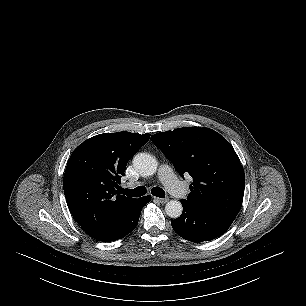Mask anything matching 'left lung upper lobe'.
I'll use <instances>...</instances> for the list:
<instances>
[{
	"instance_id": "obj_1",
	"label": "left lung upper lobe",
	"mask_w": 306,
	"mask_h": 306,
	"mask_svg": "<svg viewBox=\"0 0 306 306\" xmlns=\"http://www.w3.org/2000/svg\"><path fill=\"white\" fill-rule=\"evenodd\" d=\"M162 150L183 176L193 178L184 202L204 210L237 216L243 201L245 174L232 145L208 128L183 127L153 135Z\"/></svg>"
}]
</instances>
